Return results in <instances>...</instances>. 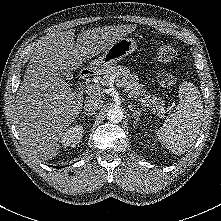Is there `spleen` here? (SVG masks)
<instances>
[{"mask_svg":"<svg viewBox=\"0 0 221 221\" xmlns=\"http://www.w3.org/2000/svg\"><path fill=\"white\" fill-rule=\"evenodd\" d=\"M203 116V103L195 85L183 82L179 87V105L156 131L158 140L175 155L184 154L196 139Z\"/></svg>","mask_w":221,"mask_h":221,"instance_id":"3e777b00","label":"spleen"}]
</instances>
